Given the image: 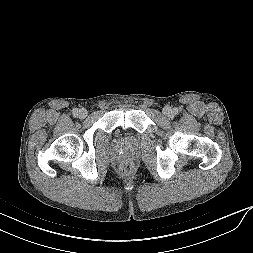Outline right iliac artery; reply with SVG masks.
<instances>
[{
  "label": "right iliac artery",
  "instance_id": "obj_1",
  "mask_svg": "<svg viewBox=\"0 0 253 253\" xmlns=\"http://www.w3.org/2000/svg\"><path fill=\"white\" fill-rule=\"evenodd\" d=\"M73 115H74V116H77V115H78V110H77V109L73 110Z\"/></svg>",
  "mask_w": 253,
  "mask_h": 253
}]
</instances>
